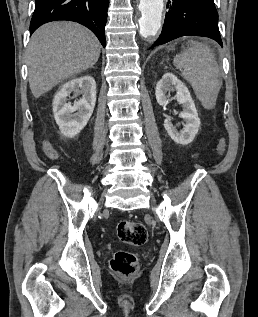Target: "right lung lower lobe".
Returning <instances> with one entry per match:
<instances>
[{"mask_svg":"<svg viewBox=\"0 0 258 317\" xmlns=\"http://www.w3.org/2000/svg\"><path fill=\"white\" fill-rule=\"evenodd\" d=\"M108 6L109 0H35L30 34L47 22L75 21L89 28L105 47Z\"/></svg>","mask_w":258,"mask_h":317,"instance_id":"obj_1","label":"right lung lower lobe"}]
</instances>
